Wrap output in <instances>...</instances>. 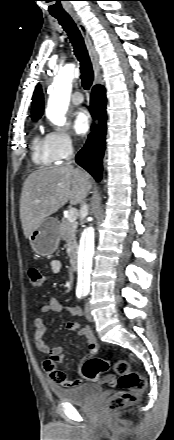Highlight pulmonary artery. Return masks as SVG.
I'll use <instances>...</instances> for the list:
<instances>
[{"label": "pulmonary artery", "instance_id": "1", "mask_svg": "<svg viewBox=\"0 0 174 440\" xmlns=\"http://www.w3.org/2000/svg\"><path fill=\"white\" fill-rule=\"evenodd\" d=\"M83 100H84V98H83V95H82V93H80V92H74L72 95H71V102L73 103V104H75V105H79V104H81L82 102H83Z\"/></svg>", "mask_w": 174, "mask_h": 440}]
</instances>
